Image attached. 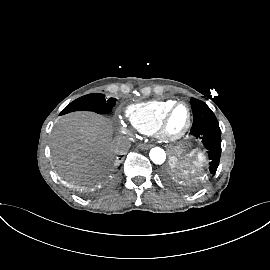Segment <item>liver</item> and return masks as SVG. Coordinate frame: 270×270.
<instances>
[{"instance_id": "6515ba94", "label": "liver", "mask_w": 270, "mask_h": 270, "mask_svg": "<svg viewBox=\"0 0 270 270\" xmlns=\"http://www.w3.org/2000/svg\"><path fill=\"white\" fill-rule=\"evenodd\" d=\"M112 125L93 112H72L58 119L52 134L55 163L65 171L102 177L113 157Z\"/></svg>"}]
</instances>
